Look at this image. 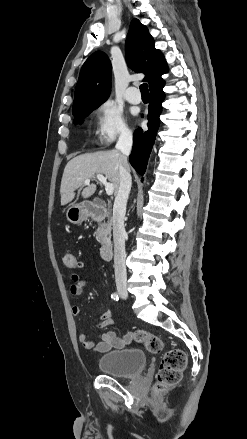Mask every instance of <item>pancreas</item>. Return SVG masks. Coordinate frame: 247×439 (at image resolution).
<instances>
[{
	"instance_id": "1",
	"label": "pancreas",
	"mask_w": 247,
	"mask_h": 439,
	"mask_svg": "<svg viewBox=\"0 0 247 439\" xmlns=\"http://www.w3.org/2000/svg\"><path fill=\"white\" fill-rule=\"evenodd\" d=\"M111 225L112 221L108 220L107 223L99 224L97 231H96V238L99 242H102L104 240H110V234H111Z\"/></svg>"
}]
</instances>
